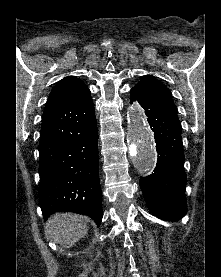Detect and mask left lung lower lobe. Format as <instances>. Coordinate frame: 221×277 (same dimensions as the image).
<instances>
[{
  "mask_svg": "<svg viewBox=\"0 0 221 277\" xmlns=\"http://www.w3.org/2000/svg\"><path fill=\"white\" fill-rule=\"evenodd\" d=\"M130 93V102L138 101L145 110L158 153L154 173L140 178V188L154 215L178 221L187 212L181 124L143 89L134 86Z\"/></svg>",
  "mask_w": 221,
  "mask_h": 277,
  "instance_id": "left-lung-lower-lobe-1",
  "label": "left lung lower lobe"
}]
</instances>
